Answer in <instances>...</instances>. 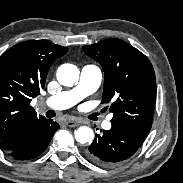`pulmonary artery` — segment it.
Segmentation results:
<instances>
[{
    "label": "pulmonary artery",
    "mask_w": 183,
    "mask_h": 183,
    "mask_svg": "<svg viewBox=\"0 0 183 183\" xmlns=\"http://www.w3.org/2000/svg\"><path fill=\"white\" fill-rule=\"evenodd\" d=\"M101 80L100 68L96 65H86L82 68L79 82L75 87L49 97L46 99L45 105L55 110L68 109L93 94L99 88ZM111 126L110 120L103 123V127L107 130Z\"/></svg>",
    "instance_id": "pulmonary-artery-1"
}]
</instances>
